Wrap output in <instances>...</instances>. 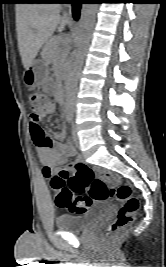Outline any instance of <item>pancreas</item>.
<instances>
[{
	"label": "pancreas",
	"mask_w": 166,
	"mask_h": 267,
	"mask_svg": "<svg viewBox=\"0 0 166 267\" xmlns=\"http://www.w3.org/2000/svg\"><path fill=\"white\" fill-rule=\"evenodd\" d=\"M61 39L58 36L52 37L44 46L41 53L42 58L47 63H54L58 61L60 54Z\"/></svg>",
	"instance_id": "pancreas-1"
}]
</instances>
